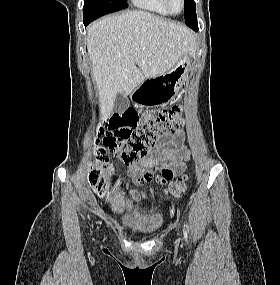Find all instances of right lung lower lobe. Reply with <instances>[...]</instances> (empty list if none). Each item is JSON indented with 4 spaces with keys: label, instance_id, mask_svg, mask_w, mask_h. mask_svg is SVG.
<instances>
[{
    "label": "right lung lower lobe",
    "instance_id": "1",
    "mask_svg": "<svg viewBox=\"0 0 280 285\" xmlns=\"http://www.w3.org/2000/svg\"><path fill=\"white\" fill-rule=\"evenodd\" d=\"M83 22L85 26H87L90 23L89 21H85V20H83Z\"/></svg>",
    "mask_w": 280,
    "mask_h": 285
}]
</instances>
